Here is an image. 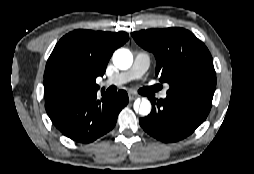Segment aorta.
Listing matches in <instances>:
<instances>
[{"mask_svg":"<svg viewBox=\"0 0 254 174\" xmlns=\"http://www.w3.org/2000/svg\"><path fill=\"white\" fill-rule=\"evenodd\" d=\"M113 63L117 68L126 70L133 63V55L128 49H118L113 54ZM135 109L140 115L147 116L151 112V103L148 99L143 98L139 104H136Z\"/></svg>","mask_w":254,"mask_h":174,"instance_id":"762f6f07","label":"aorta"}]
</instances>
